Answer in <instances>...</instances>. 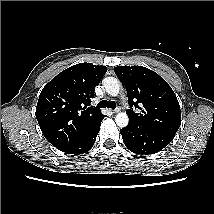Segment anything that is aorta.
<instances>
[{
  "mask_svg": "<svg viewBox=\"0 0 214 214\" xmlns=\"http://www.w3.org/2000/svg\"><path fill=\"white\" fill-rule=\"evenodd\" d=\"M103 86L108 94L111 96H117L120 91V83L114 77H105L102 81ZM115 122L120 128H124L128 125L129 118L126 113H118L115 117Z\"/></svg>",
  "mask_w": 214,
  "mask_h": 214,
  "instance_id": "1",
  "label": "aorta"
}]
</instances>
